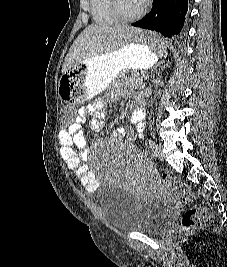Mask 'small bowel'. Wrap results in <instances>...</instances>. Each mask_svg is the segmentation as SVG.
I'll use <instances>...</instances> for the list:
<instances>
[{"label":"small bowel","mask_w":227,"mask_h":267,"mask_svg":"<svg viewBox=\"0 0 227 267\" xmlns=\"http://www.w3.org/2000/svg\"><path fill=\"white\" fill-rule=\"evenodd\" d=\"M103 102L95 105L88 104L79 108L76 118L72 120V125L63 129L58 134L60 152L67 166L74 172L82 185L88 192H95L99 181L83 159L88 156V145L83 134L82 125L89 121L94 129H100L103 126ZM144 115L140 111L134 112L129 119V126L134 131V136L139 137L144 129ZM116 137H123L124 130L121 129L115 133Z\"/></svg>","instance_id":"c3829d8e"}]
</instances>
